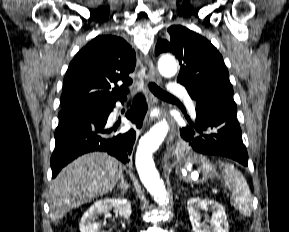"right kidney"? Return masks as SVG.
Instances as JSON below:
<instances>
[{"label":"right kidney","mask_w":289,"mask_h":232,"mask_svg":"<svg viewBox=\"0 0 289 232\" xmlns=\"http://www.w3.org/2000/svg\"><path fill=\"white\" fill-rule=\"evenodd\" d=\"M112 208H115L125 219L131 215V204L127 199L105 198L95 202L85 211L79 224L80 232H99L100 224L96 222L98 216L108 213Z\"/></svg>","instance_id":"right-kidney-1"}]
</instances>
